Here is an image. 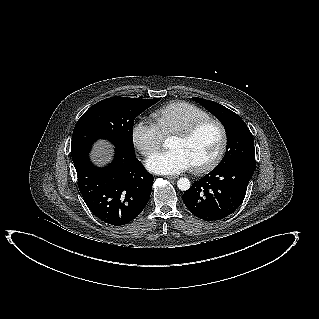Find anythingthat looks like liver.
Returning a JSON list of instances; mask_svg holds the SVG:
<instances>
[{"mask_svg": "<svg viewBox=\"0 0 319 319\" xmlns=\"http://www.w3.org/2000/svg\"><path fill=\"white\" fill-rule=\"evenodd\" d=\"M112 146L105 141H99L93 146L92 160L97 165H104L112 158Z\"/></svg>", "mask_w": 319, "mask_h": 319, "instance_id": "obj_1", "label": "liver"}]
</instances>
